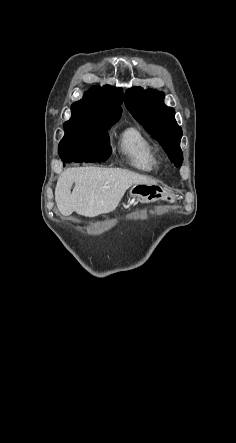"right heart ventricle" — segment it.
Wrapping results in <instances>:
<instances>
[{
  "label": "right heart ventricle",
  "mask_w": 236,
  "mask_h": 443,
  "mask_svg": "<svg viewBox=\"0 0 236 443\" xmlns=\"http://www.w3.org/2000/svg\"><path fill=\"white\" fill-rule=\"evenodd\" d=\"M117 147L126 162L136 170L152 172L158 166L152 142L136 127H127L119 134Z\"/></svg>",
  "instance_id": "e07e8e85"
}]
</instances>
